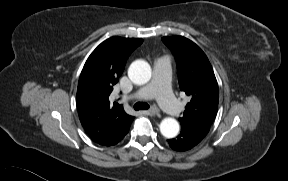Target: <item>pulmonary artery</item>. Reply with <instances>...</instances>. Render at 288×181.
Here are the masks:
<instances>
[{
    "instance_id": "pulmonary-artery-1",
    "label": "pulmonary artery",
    "mask_w": 288,
    "mask_h": 181,
    "mask_svg": "<svg viewBox=\"0 0 288 181\" xmlns=\"http://www.w3.org/2000/svg\"><path fill=\"white\" fill-rule=\"evenodd\" d=\"M171 63L167 57H160L154 63L153 81L133 94L134 99L148 100L157 98L161 107L171 116L182 112L181 104L176 100L170 88Z\"/></svg>"
}]
</instances>
